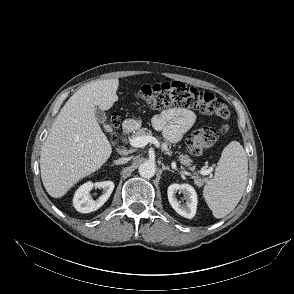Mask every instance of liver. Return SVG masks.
Returning a JSON list of instances; mask_svg holds the SVG:
<instances>
[{
  "label": "liver",
  "instance_id": "liver-1",
  "mask_svg": "<svg viewBox=\"0 0 294 294\" xmlns=\"http://www.w3.org/2000/svg\"><path fill=\"white\" fill-rule=\"evenodd\" d=\"M118 86V79L86 84L56 117L40 155L41 179L51 197L64 196L109 159L112 147L95 115L97 108L109 110L118 101Z\"/></svg>",
  "mask_w": 294,
  "mask_h": 294
}]
</instances>
